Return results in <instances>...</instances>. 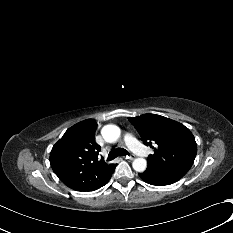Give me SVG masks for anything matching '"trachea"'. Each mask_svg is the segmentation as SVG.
I'll list each match as a JSON object with an SVG mask.
<instances>
[{"label":"trachea","instance_id":"obj_1","mask_svg":"<svg viewBox=\"0 0 233 233\" xmlns=\"http://www.w3.org/2000/svg\"><path fill=\"white\" fill-rule=\"evenodd\" d=\"M129 155L128 151L123 148L114 149L109 152L108 161L115 159L117 156Z\"/></svg>","mask_w":233,"mask_h":233}]
</instances>
